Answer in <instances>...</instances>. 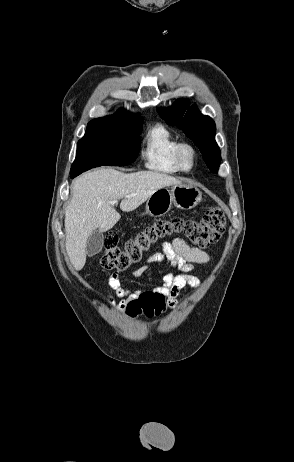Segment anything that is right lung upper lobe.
I'll use <instances>...</instances> for the list:
<instances>
[{"label":"right lung upper lobe","mask_w":294,"mask_h":462,"mask_svg":"<svg viewBox=\"0 0 294 462\" xmlns=\"http://www.w3.org/2000/svg\"><path fill=\"white\" fill-rule=\"evenodd\" d=\"M112 117H119V118H136L139 117L138 115H131L127 113L125 110H119L114 116Z\"/></svg>","instance_id":"1"}]
</instances>
